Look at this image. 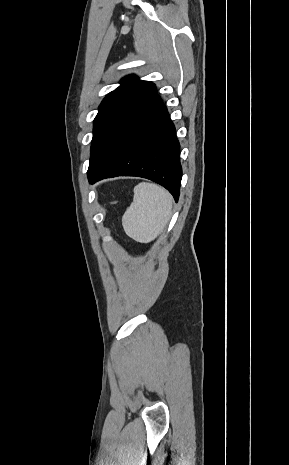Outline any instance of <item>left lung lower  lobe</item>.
I'll use <instances>...</instances> for the list:
<instances>
[{
	"mask_svg": "<svg viewBox=\"0 0 289 465\" xmlns=\"http://www.w3.org/2000/svg\"><path fill=\"white\" fill-rule=\"evenodd\" d=\"M138 176L165 187L178 201L182 168L179 142L166 107L156 95L128 132L94 171L91 184L103 178Z\"/></svg>",
	"mask_w": 289,
	"mask_h": 465,
	"instance_id": "1",
	"label": "left lung lower lobe"
}]
</instances>
